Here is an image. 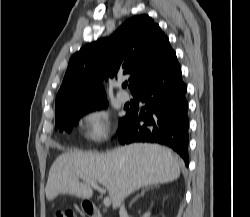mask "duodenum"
Returning a JSON list of instances; mask_svg holds the SVG:
<instances>
[{
	"instance_id": "duodenum-1",
	"label": "duodenum",
	"mask_w": 250,
	"mask_h": 217,
	"mask_svg": "<svg viewBox=\"0 0 250 217\" xmlns=\"http://www.w3.org/2000/svg\"><path fill=\"white\" fill-rule=\"evenodd\" d=\"M84 210L89 217H103L101 210L94 204L86 203Z\"/></svg>"
}]
</instances>
